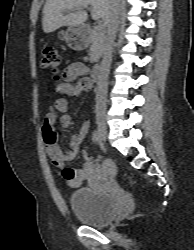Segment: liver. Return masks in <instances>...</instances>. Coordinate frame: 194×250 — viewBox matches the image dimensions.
I'll use <instances>...</instances> for the list:
<instances>
[{"label": "liver", "mask_w": 194, "mask_h": 250, "mask_svg": "<svg viewBox=\"0 0 194 250\" xmlns=\"http://www.w3.org/2000/svg\"><path fill=\"white\" fill-rule=\"evenodd\" d=\"M88 5L92 8V18L102 19L105 23L112 0H47L43 9V31L50 33L63 26L83 24L88 18V14L83 9ZM66 11L69 13L64 15Z\"/></svg>", "instance_id": "liver-1"}]
</instances>
